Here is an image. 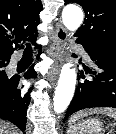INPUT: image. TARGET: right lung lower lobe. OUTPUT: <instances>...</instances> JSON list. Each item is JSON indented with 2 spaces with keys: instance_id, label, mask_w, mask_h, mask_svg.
<instances>
[{
  "instance_id": "1",
  "label": "right lung lower lobe",
  "mask_w": 116,
  "mask_h": 134,
  "mask_svg": "<svg viewBox=\"0 0 116 134\" xmlns=\"http://www.w3.org/2000/svg\"><path fill=\"white\" fill-rule=\"evenodd\" d=\"M24 76L25 78H35L37 75L31 67ZM18 82L19 79L12 78L7 85L0 87V118L12 122L24 132L27 122L26 111L32 88L26 93L21 92Z\"/></svg>"
}]
</instances>
